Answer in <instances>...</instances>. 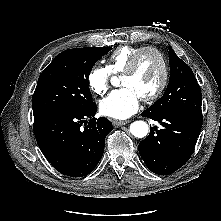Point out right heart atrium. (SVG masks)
Segmentation results:
<instances>
[{"mask_svg":"<svg viewBox=\"0 0 221 221\" xmlns=\"http://www.w3.org/2000/svg\"><path fill=\"white\" fill-rule=\"evenodd\" d=\"M111 79V72L107 67H94L88 75V86L91 91L97 95L104 94L108 88Z\"/></svg>","mask_w":221,"mask_h":221,"instance_id":"d8ad5b80","label":"right heart atrium"}]
</instances>
